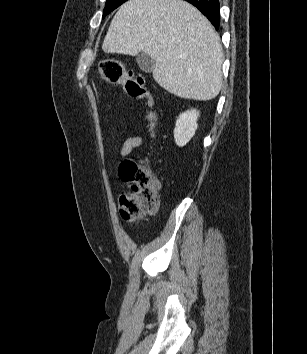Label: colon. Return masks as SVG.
Returning a JSON list of instances; mask_svg holds the SVG:
<instances>
[{
  "mask_svg": "<svg viewBox=\"0 0 307 354\" xmlns=\"http://www.w3.org/2000/svg\"><path fill=\"white\" fill-rule=\"evenodd\" d=\"M98 73L108 83L124 85L130 96L146 99L150 105L153 104L144 77L126 69L121 61L112 57L102 59ZM156 119L157 115L151 113L152 126L155 125ZM119 175L129 185V190L119 198V212L123 220L137 221L157 209L160 184L156 173L146 161L125 160L120 165Z\"/></svg>",
  "mask_w": 307,
  "mask_h": 354,
  "instance_id": "1",
  "label": "colon"
}]
</instances>
